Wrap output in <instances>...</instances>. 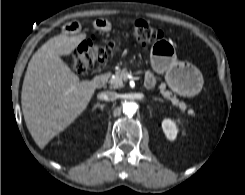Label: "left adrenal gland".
Returning <instances> with one entry per match:
<instances>
[{
    "label": "left adrenal gland",
    "mask_w": 245,
    "mask_h": 195,
    "mask_svg": "<svg viewBox=\"0 0 245 195\" xmlns=\"http://www.w3.org/2000/svg\"><path fill=\"white\" fill-rule=\"evenodd\" d=\"M154 100L162 101L161 99H154Z\"/></svg>",
    "instance_id": "1"
}]
</instances>
